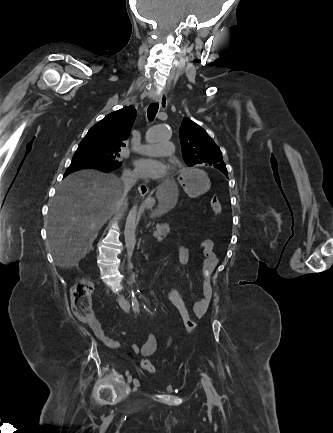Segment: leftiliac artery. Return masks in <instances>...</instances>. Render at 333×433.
I'll list each match as a JSON object with an SVG mask.
<instances>
[{
  "instance_id": "left-iliac-artery-1",
  "label": "left iliac artery",
  "mask_w": 333,
  "mask_h": 433,
  "mask_svg": "<svg viewBox=\"0 0 333 433\" xmlns=\"http://www.w3.org/2000/svg\"><path fill=\"white\" fill-rule=\"evenodd\" d=\"M132 306H133L134 311L138 312L139 305H138V302L136 300H134V302L132 303ZM202 375L206 379L207 383L209 384V386L211 387V389L213 390V392H215V389H214V387H213V385H212V383L210 381V378L205 373H202Z\"/></svg>"
}]
</instances>
